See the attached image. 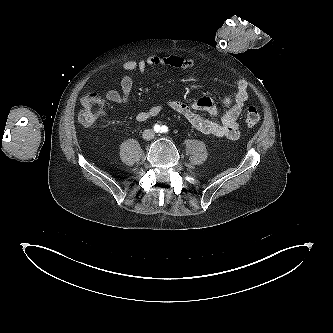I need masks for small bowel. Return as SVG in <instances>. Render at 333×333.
Here are the masks:
<instances>
[{"label":"small bowel","instance_id":"c3829d8e","mask_svg":"<svg viewBox=\"0 0 333 333\" xmlns=\"http://www.w3.org/2000/svg\"><path fill=\"white\" fill-rule=\"evenodd\" d=\"M193 60L178 56H150L139 61L131 60L125 62L122 67L125 71L144 72L148 67L170 66L178 69H187L192 67ZM133 89V79L129 75H124L120 81L119 90H109L106 93V99L113 103H126L129 101ZM249 98L247 83L239 80L236 83V92L233 96H227L223 100L224 111L219 114L215 101L209 96H202L190 103L181 102L175 99H169L165 104L152 106L151 108L139 112L135 119L138 122H144L157 116L165 107L170 108L183 116L194 128L205 135L236 140L240 132L237 119ZM205 111L212 116H219V121H213L201 116L198 112Z\"/></svg>","mask_w":333,"mask_h":333}]
</instances>
